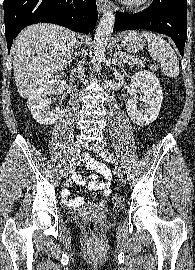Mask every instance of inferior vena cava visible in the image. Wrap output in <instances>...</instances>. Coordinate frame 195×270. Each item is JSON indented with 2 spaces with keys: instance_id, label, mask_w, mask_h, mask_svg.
<instances>
[{
  "instance_id": "1",
  "label": "inferior vena cava",
  "mask_w": 195,
  "mask_h": 270,
  "mask_svg": "<svg viewBox=\"0 0 195 270\" xmlns=\"http://www.w3.org/2000/svg\"><path fill=\"white\" fill-rule=\"evenodd\" d=\"M77 70H78L79 78H82L84 76V70L82 66L79 65Z\"/></svg>"
}]
</instances>
